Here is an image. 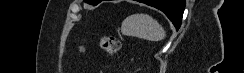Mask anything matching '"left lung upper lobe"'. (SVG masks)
<instances>
[{
    "label": "left lung upper lobe",
    "instance_id": "5c2ea615",
    "mask_svg": "<svg viewBox=\"0 0 244 73\" xmlns=\"http://www.w3.org/2000/svg\"><path fill=\"white\" fill-rule=\"evenodd\" d=\"M84 1L89 2L92 5H97L98 3L101 2V0H84Z\"/></svg>",
    "mask_w": 244,
    "mask_h": 73
}]
</instances>
